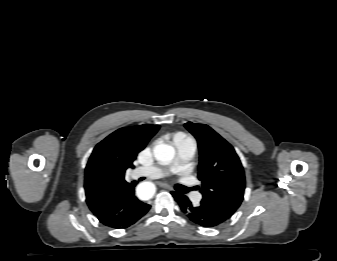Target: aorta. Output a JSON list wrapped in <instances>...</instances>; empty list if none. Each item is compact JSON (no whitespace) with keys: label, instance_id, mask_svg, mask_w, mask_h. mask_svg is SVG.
<instances>
[{"label":"aorta","instance_id":"aorta-1","mask_svg":"<svg viewBox=\"0 0 337 261\" xmlns=\"http://www.w3.org/2000/svg\"><path fill=\"white\" fill-rule=\"evenodd\" d=\"M153 154L161 164H168L175 156V149L168 144H159L153 148ZM136 193L139 198L148 200L155 193V185L149 181L142 182L137 186Z\"/></svg>","mask_w":337,"mask_h":261}]
</instances>
